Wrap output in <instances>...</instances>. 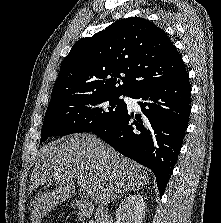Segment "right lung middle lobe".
I'll return each instance as SVG.
<instances>
[{
  "instance_id": "obj_1",
  "label": "right lung middle lobe",
  "mask_w": 221,
  "mask_h": 223,
  "mask_svg": "<svg viewBox=\"0 0 221 223\" xmlns=\"http://www.w3.org/2000/svg\"><path fill=\"white\" fill-rule=\"evenodd\" d=\"M118 94L74 95L49 103L41 131V142L50 136L88 132L99 128L127 108Z\"/></svg>"
}]
</instances>
